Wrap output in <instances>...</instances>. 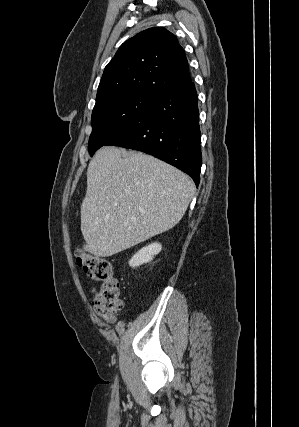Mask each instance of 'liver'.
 <instances>
[{"instance_id":"liver-1","label":"liver","mask_w":299,"mask_h":427,"mask_svg":"<svg viewBox=\"0 0 299 427\" xmlns=\"http://www.w3.org/2000/svg\"><path fill=\"white\" fill-rule=\"evenodd\" d=\"M194 190L189 176L153 156L101 148L89 162L81 205L86 251L109 257L173 228Z\"/></svg>"}]
</instances>
